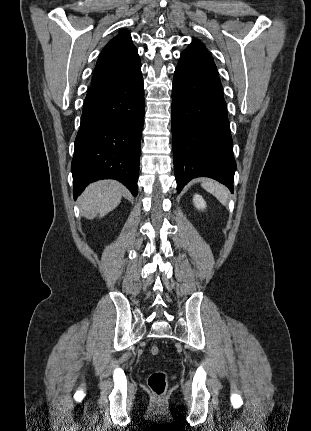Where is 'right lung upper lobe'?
<instances>
[{
  "mask_svg": "<svg viewBox=\"0 0 311 431\" xmlns=\"http://www.w3.org/2000/svg\"><path fill=\"white\" fill-rule=\"evenodd\" d=\"M140 64L129 31H121L102 50L91 85L123 77Z\"/></svg>",
  "mask_w": 311,
  "mask_h": 431,
  "instance_id": "obj_1",
  "label": "right lung upper lobe"
}]
</instances>
